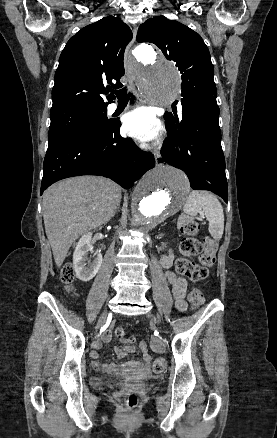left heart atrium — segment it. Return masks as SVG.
Returning <instances> with one entry per match:
<instances>
[{
  "instance_id": "obj_1",
  "label": "left heart atrium",
  "mask_w": 277,
  "mask_h": 438,
  "mask_svg": "<svg viewBox=\"0 0 277 438\" xmlns=\"http://www.w3.org/2000/svg\"><path fill=\"white\" fill-rule=\"evenodd\" d=\"M124 130L142 142L153 140L160 131V124L149 107H139L124 116Z\"/></svg>"
}]
</instances>
